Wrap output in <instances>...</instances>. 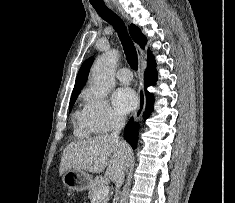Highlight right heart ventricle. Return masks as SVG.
Masks as SVG:
<instances>
[{
    "label": "right heart ventricle",
    "mask_w": 235,
    "mask_h": 203,
    "mask_svg": "<svg viewBox=\"0 0 235 203\" xmlns=\"http://www.w3.org/2000/svg\"><path fill=\"white\" fill-rule=\"evenodd\" d=\"M82 97L85 98V93L82 94ZM74 125L76 133L80 136H89L96 132L93 125L91 124L85 108L75 112Z\"/></svg>",
    "instance_id": "e07e8e85"
}]
</instances>
